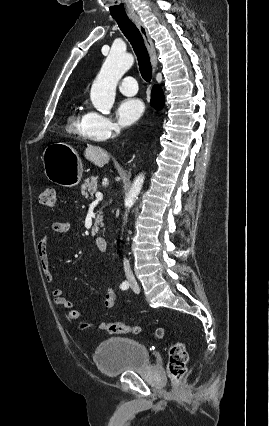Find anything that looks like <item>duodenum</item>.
<instances>
[{
  "instance_id": "obj_1",
  "label": "duodenum",
  "mask_w": 269,
  "mask_h": 426,
  "mask_svg": "<svg viewBox=\"0 0 269 426\" xmlns=\"http://www.w3.org/2000/svg\"><path fill=\"white\" fill-rule=\"evenodd\" d=\"M96 245L100 251H106L108 249V241L104 237H98L96 239Z\"/></svg>"
}]
</instances>
